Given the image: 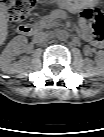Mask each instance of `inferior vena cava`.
<instances>
[{
    "label": "inferior vena cava",
    "mask_w": 104,
    "mask_h": 137,
    "mask_svg": "<svg viewBox=\"0 0 104 137\" xmlns=\"http://www.w3.org/2000/svg\"><path fill=\"white\" fill-rule=\"evenodd\" d=\"M48 37H49V34H47L46 32H36L34 35V40L36 42H43L47 40Z\"/></svg>",
    "instance_id": "1"
}]
</instances>
